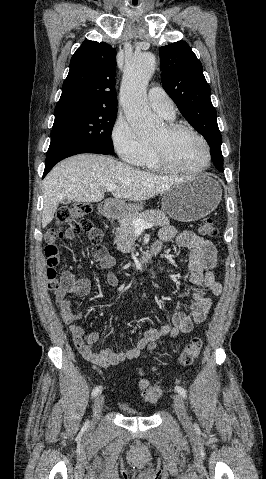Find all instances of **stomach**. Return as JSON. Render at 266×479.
Returning a JSON list of instances; mask_svg holds the SVG:
<instances>
[{
    "label": "stomach",
    "mask_w": 266,
    "mask_h": 479,
    "mask_svg": "<svg viewBox=\"0 0 266 479\" xmlns=\"http://www.w3.org/2000/svg\"><path fill=\"white\" fill-rule=\"evenodd\" d=\"M222 190L209 174L188 178L173 185L163 193L162 209L172 219L191 222L210 214L220 203ZM141 205L112 203L105 211L114 218L136 213Z\"/></svg>",
    "instance_id": "obj_1"
}]
</instances>
